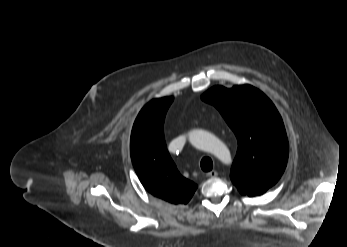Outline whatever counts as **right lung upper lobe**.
Masks as SVG:
<instances>
[{
  "instance_id": "obj_1",
  "label": "right lung upper lobe",
  "mask_w": 347,
  "mask_h": 247,
  "mask_svg": "<svg viewBox=\"0 0 347 247\" xmlns=\"http://www.w3.org/2000/svg\"><path fill=\"white\" fill-rule=\"evenodd\" d=\"M173 97L151 100L138 114L131 133L132 163L148 192L173 204H186L197 185L181 176L166 148L163 124Z\"/></svg>"
}]
</instances>
